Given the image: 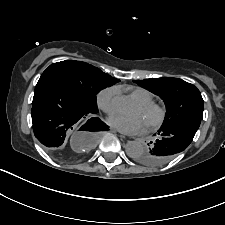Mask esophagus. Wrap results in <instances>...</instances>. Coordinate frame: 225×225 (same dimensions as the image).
Listing matches in <instances>:
<instances>
[{"label":"esophagus","mask_w":225,"mask_h":225,"mask_svg":"<svg viewBox=\"0 0 225 225\" xmlns=\"http://www.w3.org/2000/svg\"><path fill=\"white\" fill-rule=\"evenodd\" d=\"M112 131L115 132V133H118V134H119L121 137H123V138L125 137L122 133H120L119 131H117V130H115V129H113Z\"/></svg>","instance_id":"1"}]
</instances>
